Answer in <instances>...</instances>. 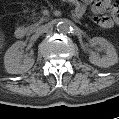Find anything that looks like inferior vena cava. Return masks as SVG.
Listing matches in <instances>:
<instances>
[{
	"instance_id": "602c4592",
	"label": "inferior vena cava",
	"mask_w": 119,
	"mask_h": 119,
	"mask_svg": "<svg viewBox=\"0 0 119 119\" xmlns=\"http://www.w3.org/2000/svg\"><path fill=\"white\" fill-rule=\"evenodd\" d=\"M51 28V24H45L36 29V34L41 35L45 32H47Z\"/></svg>"
}]
</instances>
